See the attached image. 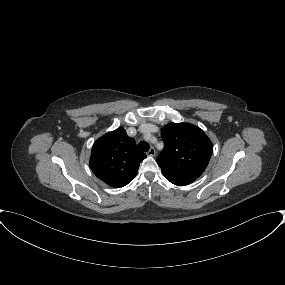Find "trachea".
<instances>
[{
    "label": "trachea",
    "mask_w": 285,
    "mask_h": 285,
    "mask_svg": "<svg viewBox=\"0 0 285 285\" xmlns=\"http://www.w3.org/2000/svg\"><path fill=\"white\" fill-rule=\"evenodd\" d=\"M149 144L145 141H141L138 143V149L142 152H148L149 151Z\"/></svg>",
    "instance_id": "3493384b"
}]
</instances>
